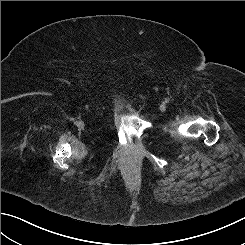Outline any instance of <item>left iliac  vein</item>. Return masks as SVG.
<instances>
[{
  "instance_id": "left-iliac-vein-1",
  "label": "left iliac vein",
  "mask_w": 245,
  "mask_h": 245,
  "mask_svg": "<svg viewBox=\"0 0 245 245\" xmlns=\"http://www.w3.org/2000/svg\"><path fill=\"white\" fill-rule=\"evenodd\" d=\"M160 108L163 110V109L165 108V105L162 104V105L160 106Z\"/></svg>"
}]
</instances>
